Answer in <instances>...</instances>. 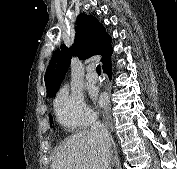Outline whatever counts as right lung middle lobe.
Returning <instances> with one entry per match:
<instances>
[{"label": "right lung middle lobe", "instance_id": "1", "mask_svg": "<svg viewBox=\"0 0 177 169\" xmlns=\"http://www.w3.org/2000/svg\"><path fill=\"white\" fill-rule=\"evenodd\" d=\"M50 123H51V126H52V118L50 117Z\"/></svg>", "mask_w": 177, "mask_h": 169}]
</instances>
